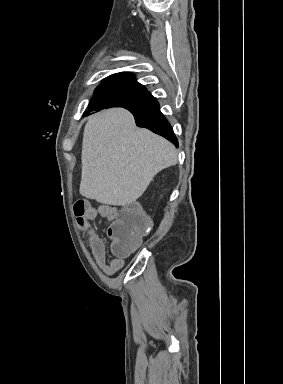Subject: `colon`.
<instances>
[{
  "label": "colon",
  "mask_w": 283,
  "mask_h": 384,
  "mask_svg": "<svg viewBox=\"0 0 283 384\" xmlns=\"http://www.w3.org/2000/svg\"><path fill=\"white\" fill-rule=\"evenodd\" d=\"M89 205L85 200H78L74 204V213L82 218ZM151 222L138 204H129L122 208L108 229L112 239V251L118 256H126L139 244L140 237L148 232Z\"/></svg>",
  "instance_id": "obj_1"
}]
</instances>
